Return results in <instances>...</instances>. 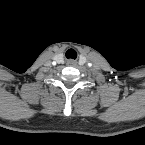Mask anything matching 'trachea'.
Here are the masks:
<instances>
[{"instance_id": "1", "label": "trachea", "mask_w": 145, "mask_h": 145, "mask_svg": "<svg viewBox=\"0 0 145 145\" xmlns=\"http://www.w3.org/2000/svg\"><path fill=\"white\" fill-rule=\"evenodd\" d=\"M65 56L67 59H76L77 58V52L74 49H68L65 53Z\"/></svg>"}]
</instances>
